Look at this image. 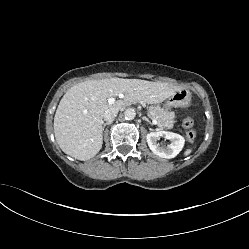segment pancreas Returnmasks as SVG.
I'll list each match as a JSON object with an SVG mask.
<instances>
[{
  "label": "pancreas",
  "mask_w": 249,
  "mask_h": 249,
  "mask_svg": "<svg viewBox=\"0 0 249 249\" xmlns=\"http://www.w3.org/2000/svg\"><path fill=\"white\" fill-rule=\"evenodd\" d=\"M151 118L156 119L157 125L161 129H172L174 127V113L162 109L159 106H150L148 108Z\"/></svg>",
  "instance_id": "pancreas-1"
}]
</instances>
